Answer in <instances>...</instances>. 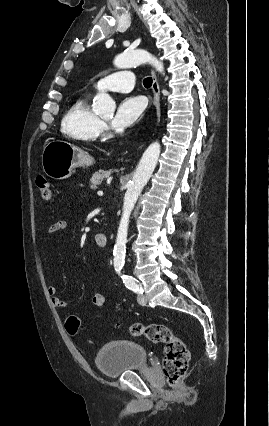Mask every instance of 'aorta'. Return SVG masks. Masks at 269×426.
<instances>
[{"instance_id":"762f6f07","label":"aorta","mask_w":269,"mask_h":426,"mask_svg":"<svg viewBox=\"0 0 269 426\" xmlns=\"http://www.w3.org/2000/svg\"><path fill=\"white\" fill-rule=\"evenodd\" d=\"M151 64L156 71L164 74V66L155 56L143 49L127 51L118 55L114 60V65L119 69L130 68L135 65ZM115 102L107 93H98L93 100L92 110L97 115L103 117L113 116L115 112ZM161 151V145L158 141L151 143L143 153L139 164L133 174L124 196L123 213L120 220L116 243L114 246V264L124 263L129 218L134 206L141 194L143 188L150 179Z\"/></svg>"}]
</instances>
